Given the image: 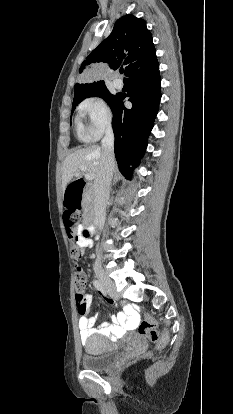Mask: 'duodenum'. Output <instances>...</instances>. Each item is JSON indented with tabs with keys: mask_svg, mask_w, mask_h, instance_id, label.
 Instances as JSON below:
<instances>
[{
	"mask_svg": "<svg viewBox=\"0 0 233 414\" xmlns=\"http://www.w3.org/2000/svg\"><path fill=\"white\" fill-rule=\"evenodd\" d=\"M92 187L83 180L72 179L71 183L65 189L66 197L65 206L69 212H77L80 202L89 203L84 210L82 217L86 221V226L95 229L93 225V209H92Z\"/></svg>",
	"mask_w": 233,
	"mask_h": 414,
	"instance_id": "1",
	"label": "duodenum"
}]
</instances>
